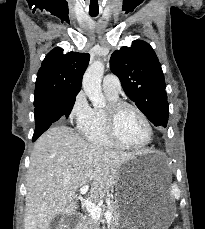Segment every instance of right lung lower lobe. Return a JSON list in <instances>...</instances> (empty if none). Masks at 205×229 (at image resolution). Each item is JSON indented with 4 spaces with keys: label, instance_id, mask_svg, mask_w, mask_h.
<instances>
[{
    "label": "right lung lower lobe",
    "instance_id": "obj_1",
    "mask_svg": "<svg viewBox=\"0 0 205 229\" xmlns=\"http://www.w3.org/2000/svg\"><path fill=\"white\" fill-rule=\"evenodd\" d=\"M67 97L68 96L57 98L35 107L36 127L33 135V142L61 116H69L75 102H71Z\"/></svg>",
    "mask_w": 205,
    "mask_h": 229
}]
</instances>
